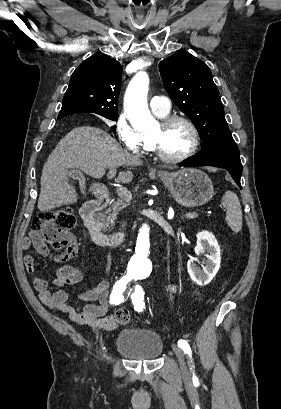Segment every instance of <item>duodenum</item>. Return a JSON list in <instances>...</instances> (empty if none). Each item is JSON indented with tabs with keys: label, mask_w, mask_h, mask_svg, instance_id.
<instances>
[{
	"label": "duodenum",
	"mask_w": 281,
	"mask_h": 409,
	"mask_svg": "<svg viewBox=\"0 0 281 409\" xmlns=\"http://www.w3.org/2000/svg\"><path fill=\"white\" fill-rule=\"evenodd\" d=\"M97 200L87 201L81 207L80 213L91 239L100 248H117L126 239L124 232L106 233L100 224V212L106 203L111 202L110 187L98 186L95 191Z\"/></svg>",
	"instance_id": "duodenum-1"
}]
</instances>
